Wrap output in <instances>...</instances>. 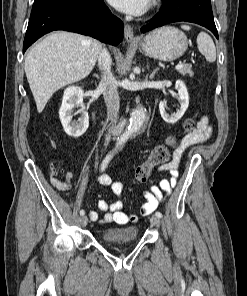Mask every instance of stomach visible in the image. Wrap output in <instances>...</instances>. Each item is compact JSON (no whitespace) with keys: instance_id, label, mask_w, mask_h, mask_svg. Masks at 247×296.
<instances>
[{"instance_id":"stomach-1","label":"stomach","mask_w":247,"mask_h":296,"mask_svg":"<svg viewBox=\"0 0 247 296\" xmlns=\"http://www.w3.org/2000/svg\"><path fill=\"white\" fill-rule=\"evenodd\" d=\"M136 47L149 57L172 61L185 53L188 41L183 32L166 26L147 34Z\"/></svg>"}]
</instances>
